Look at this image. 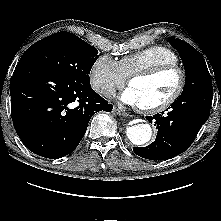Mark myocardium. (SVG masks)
Instances as JSON below:
<instances>
[{
  "label": "myocardium",
  "instance_id": "f54148a6",
  "mask_svg": "<svg viewBox=\"0 0 221 221\" xmlns=\"http://www.w3.org/2000/svg\"><path fill=\"white\" fill-rule=\"evenodd\" d=\"M170 71H175L179 75V82H178L176 90L166 100L156 105H152V106L139 105V109L142 112L156 114V113H160L169 109L180 98V96L182 95L184 91V88L186 85L185 71L178 64H161V65H157V66L150 67L147 69L136 71L129 76L128 84L130 85L131 82L135 79L150 78V77L159 75L161 73L170 72Z\"/></svg>",
  "mask_w": 221,
  "mask_h": 221
}]
</instances>
